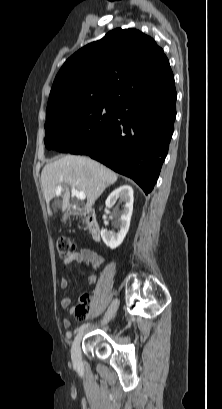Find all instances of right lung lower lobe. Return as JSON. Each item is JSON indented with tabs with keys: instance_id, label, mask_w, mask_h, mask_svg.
Listing matches in <instances>:
<instances>
[{
	"instance_id": "1",
	"label": "right lung lower lobe",
	"mask_w": 222,
	"mask_h": 409,
	"mask_svg": "<svg viewBox=\"0 0 222 409\" xmlns=\"http://www.w3.org/2000/svg\"><path fill=\"white\" fill-rule=\"evenodd\" d=\"M162 78L168 89L119 103L103 145L86 153L132 178L148 194L159 176L173 134L176 89L173 73Z\"/></svg>"
}]
</instances>
